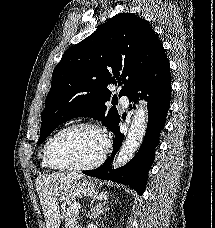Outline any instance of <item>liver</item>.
<instances>
[{"instance_id": "6515ba94", "label": "liver", "mask_w": 215, "mask_h": 228, "mask_svg": "<svg viewBox=\"0 0 215 228\" xmlns=\"http://www.w3.org/2000/svg\"><path fill=\"white\" fill-rule=\"evenodd\" d=\"M83 176L76 172L67 174H42L35 180L37 194L41 202L46 228H59V190L61 184H72L81 180Z\"/></svg>"}]
</instances>
